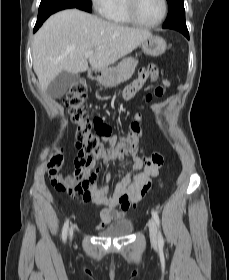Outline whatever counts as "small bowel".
<instances>
[{
    "mask_svg": "<svg viewBox=\"0 0 229 280\" xmlns=\"http://www.w3.org/2000/svg\"><path fill=\"white\" fill-rule=\"evenodd\" d=\"M158 75V70L154 67L143 68L138 77L132 81L125 89L123 97L125 100H131L148 82L155 80ZM168 82L164 83L167 86ZM164 86H158L154 89V96H162L164 94ZM152 95L147 96L150 100ZM101 139L110 144L116 145L117 138L111 134H101ZM133 158V164L129 173L124 175L116 183L113 192L107 196L108 187L105 185H96L95 183L84 187L87 177V169L81 167L78 161H75V167L71 175L66 179V182L75 187L74 193L79 201L83 204L93 203L96 206L102 207L100 212L101 222L97 226V230H102L105 226L110 224L113 220L120 219L124 214L135 206L134 202L139 200L140 189L144 183L150 181L151 177L157 175L156 172L147 170L144 165L146 157L142 150L135 149L130 153ZM124 158V155L119 157ZM109 178V174L105 175V179ZM59 189V184L57 185Z\"/></svg>",
    "mask_w": 229,
    "mask_h": 280,
    "instance_id": "small-bowel-1",
    "label": "small bowel"
}]
</instances>
